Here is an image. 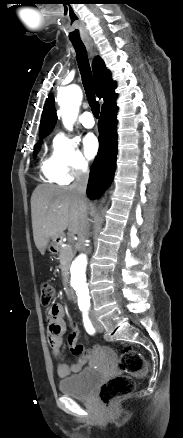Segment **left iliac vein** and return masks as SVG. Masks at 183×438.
Masks as SVG:
<instances>
[{
	"mask_svg": "<svg viewBox=\"0 0 183 438\" xmlns=\"http://www.w3.org/2000/svg\"><path fill=\"white\" fill-rule=\"evenodd\" d=\"M91 318H92V323H93L95 329H96L98 332H102V331H103V326H102L101 323L96 319V317H95L94 314L91 315Z\"/></svg>",
	"mask_w": 183,
	"mask_h": 438,
	"instance_id": "4c4485c4",
	"label": "left iliac vein"
}]
</instances>
